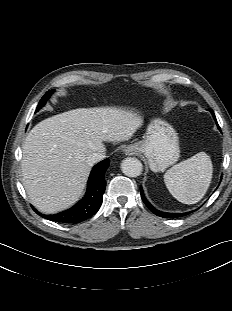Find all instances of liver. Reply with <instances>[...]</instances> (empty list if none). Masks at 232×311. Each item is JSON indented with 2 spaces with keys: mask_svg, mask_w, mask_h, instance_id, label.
I'll return each mask as SVG.
<instances>
[{
  "mask_svg": "<svg viewBox=\"0 0 232 311\" xmlns=\"http://www.w3.org/2000/svg\"><path fill=\"white\" fill-rule=\"evenodd\" d=\"M141 123V116L112 107L73 109L39 122L25 138L21 163L31 203L46 214L72 206L91 170L87 157L104 153V142L129 140Z\"/></svg>",
  "mask_w": 232,
  "mask_h": 311,
  "instance_id": "6515ba94",
  "label": "liver"
}]
</instances>
